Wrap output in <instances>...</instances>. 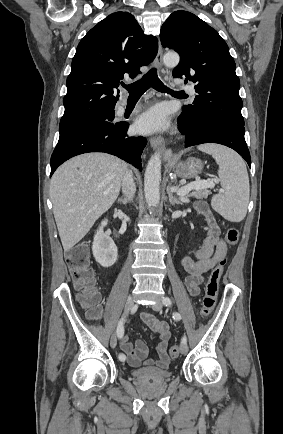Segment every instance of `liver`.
<instances>
[{"label":"liver","mask_w":283,"mask_h":434,"mask_svg":"<svg viewBox=\"0 0 283 434\" xmlns=\"http://www.w3.org/2000/svg\"><path fill=\"white\" fill-rule=\"evenodd\" d=\"M124 161L106 153H86L53 174L50 198L59 236L67 252L116 201L127 171Z\"/></svg>","instance_id":"obj_1"}]
</instances>
